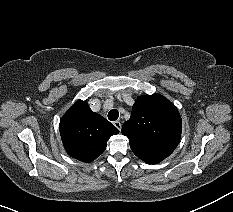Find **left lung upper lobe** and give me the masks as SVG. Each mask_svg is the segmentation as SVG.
Instances as JSON below:
<instances>
[{"instance_id": "left-lung-upper-lobe-1", "label": "left lung upper lobe", "mask_w": 233, "mask_h": 212, "mask_svg": "<svg viewBox=\"0 0 233 212\" xmlns=\"http://www.w3.org/2000/svg\"><path fill=\"white\" fill-rule=\"evenodd\" d=\"M182 120L176 107L159 94L140 96L123 124L134 154L148 164H157L177 147Z\"/></svg>"}]
</instances>
